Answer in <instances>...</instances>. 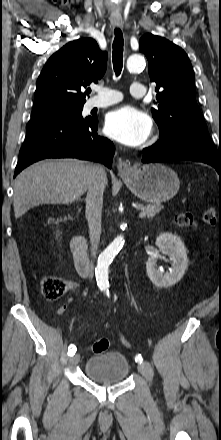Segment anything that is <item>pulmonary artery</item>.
Instances as JSON below:
<instances>
[{
	"label": "pulmonary artery",
	"instance_id": "obj_1",
	"mask_svg": "<svg viewBox=\"0 0 221 440\" xmlns=\"http://www.w3.org/2000/svg\"><path fill=\"white\" fill-rule=\"evenodd\" d=\"M98 95L87 101L85 109L87 111L95 108H103L120 102L123 96L120 92L102 87L97 89ZM130 94L135 98H142L146 95V88L141 83L130 85Z\"/></svg>",
	"mask_w": 221,
	"mask_h": 440
}]
</instances>
